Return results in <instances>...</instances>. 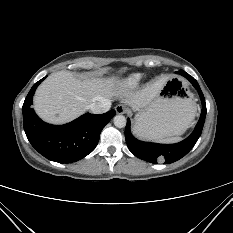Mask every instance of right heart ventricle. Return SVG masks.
<instances>
[{"label": "right heart ventricle", "mask_w": 233, "mask_h": 233, "mask_svg": "<svg viewBox=\"0 0 233 233\" xmlns=\"http://www.w3.org/2000/svg\"><path fill=\"white\" fill-rule=\"evenodd\" d=\"M142 78L143 76L141 74L130 75L129 77L124 79V81L122 82V85L130 89L135 88L140 84Z\"/></svg>", "instance_id": "right-heart-ventricle-1"}]
</instances>
